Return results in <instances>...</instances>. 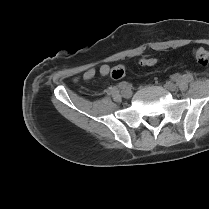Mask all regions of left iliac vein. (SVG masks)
I'll return each mask as SVG.
<instances>
[{
  "instance_id": "4c4485c4",
  "label": "left iliac vein",
  "mask_w": 209,
  "mask_h": 209,
  "mask_svg": "<svg viewBox=\"0 0 209 209\" xmlns=\"http://www.w3.org/2000/svg\"><path fill=\"white\" fill-rule=\"evenodd\" d=\"M164 87L167 90L172 91V92L177 89V86L173 82H171V81L166 82V84L164 85Z\"/></svg>"
}]
</instances>
